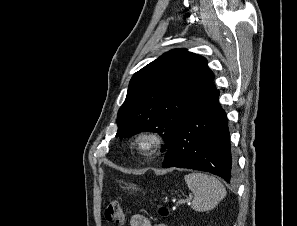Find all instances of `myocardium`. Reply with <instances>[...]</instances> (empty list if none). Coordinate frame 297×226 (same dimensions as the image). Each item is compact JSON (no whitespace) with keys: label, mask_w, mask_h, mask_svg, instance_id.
<instances>
[{"label":"myocardium","mask_w":297,"mask_h":226,"mask_svg":"<svg viewBox=\"0 0 297 226\" xmlns=\"http://www.w3.org/2000/svg\"><path fill=\"white\" fill-rule=\"evenodd\" d=\"M164 143L162 135L151 129L138 132L133 139L136 151L145 158H150L158 153Z\"/></svg>","instance_id":"myocardium-1"}]
</instances>
